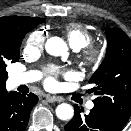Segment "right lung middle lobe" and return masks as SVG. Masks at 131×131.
<instances>
[{
	"instance_id": "dd1d6c3e",
	"label": "right lung middle lobe",
	"mask_w": 131,
	"mask_h": 131,
	"mask_svg": "<svg viewBox=\"0 0 131 131\" xmlns=\"http://www.w3.org/2000/svg\"><path fill=\"white\" fill-rule=\"evenodd\" d=\"M42 20H27L16 26L10 34V44L5 50L0 51V78L7 79L6 63L17 62L19 60L21 42L32 28L44 22Z\"/></svg>"
}]
</instances>
